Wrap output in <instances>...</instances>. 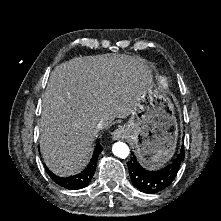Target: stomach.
I'll use <instances>...</instances> for the list:
<instances>
[{
  "instance_id": "0dacf381",
  "label": "stomach",
  "mask_w": 221,
  "mask_h": 221,
  "mask_svg": "<svg viewBox=\"0 0 221 221\" xmlns=\"http://www.w3.org/2000/svg\"><path fill=\"white\" fill-rule=\"evenodd\" d=\"M124 128L147 168L159 167L173 156L178 136L174 106L166 96L155 93L150 77Z\"/></svg>"
}]
</instances>
